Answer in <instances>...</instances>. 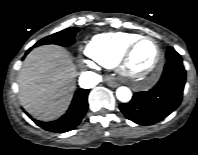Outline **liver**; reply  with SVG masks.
I'll return each mask as SVG.
<instances>
[{"mask_svg":"<svg viewBox=\"0 0 198 155\" xmlns=\"http://www.w3.org/2000/svg\"><path fill=\"white\" fill-rule=\"evenodd\" d=\"M75 75V65L65 49L35 48L27 55L18 74L21 105L39 120L58 118L71 102Z\"/></svg>","mask_w":198,"mask_h":155,"instance_id":"6515ba94","label":"liver"}]
</instances>
